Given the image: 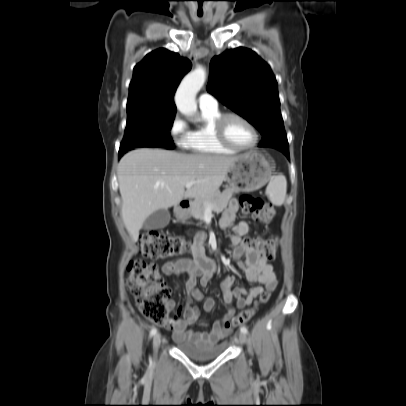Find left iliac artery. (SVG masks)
I'll list each match as a JSON object with an SVG mask.
<instances>
[{"label":"left iliac artery","instance_id":"obj_1","mask_svg":"<svg viewBox=\"0 0 406 406\" xmlns=\"http://www.w3.org/2000/svg\"><path fill=\"white\" fill-rule=\"evenodd\" d=\"M240 331H241L242 333H244V334H247V332H248V330H247V328H246L245 326H242V327L240 328Z\"/></svg>","mask_w":406,"mask_h":406}]
</instances>
